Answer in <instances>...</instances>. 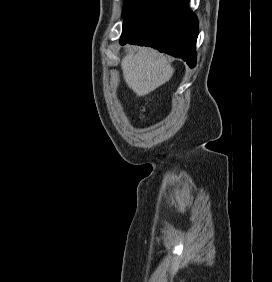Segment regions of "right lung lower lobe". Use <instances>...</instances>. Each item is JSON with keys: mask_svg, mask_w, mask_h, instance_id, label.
<instances>
[{"mask_svg": "<svg viewBox=\"0 0 272 282\" xmlns=\"http://www.w3.org/2000/svg\"><path fill=\"white\" fill-rule=\"evenodd\" d=\"M189 0H141L125 17L120 44L151 46L196 64L198 21Z\"/></svg>", "mask_w": 272, "mask_h": 282, "instance_id": "obj_1", "label": "right lung lower lobe"}]
</instances>
